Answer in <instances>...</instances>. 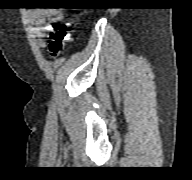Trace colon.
<instances>
[{"mask_svg": "<svg viewBox=\"0 0 192 180\" xmlns=\"http://www.w3.org/2000/svg\"><path fill=\"white\" fill-rule=\"evenodd\" d=\"M70 32L71 27L67 23L60 25L51 34L48 43V51L51 57L56 58L63 52L66 42L70 39Z\"/></svg>", "mask_w": 192, "mask_h": 180, "instance_id": "5ec220e1", "label": "colon"}]
</instances>
